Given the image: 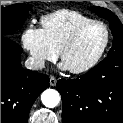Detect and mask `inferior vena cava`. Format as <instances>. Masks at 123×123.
Segmentation results:
<instances>
[{
	"label": "inferior vena cava",
	"instance_id": "1",
	"mask_svg": "<svg viewBox=\"0 0 123 123\" xmlns=\"http://www.w3.org/2000/svg\"><path fill=\"white\" fill-rule=\"evenodd\" d=\"M25 67L30 70H40L44 68V60L39 57H29L25 61Z\"/></svg>",
	"mask_w": 123,
	"mask_h": 123
}]
</instances>
